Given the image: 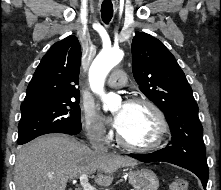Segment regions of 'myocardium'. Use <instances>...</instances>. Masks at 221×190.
<instances>
[{"label":"myocardium","instance_id":"f54148a6","mask_svg":"<svg viewBox=\"0 0 221 190\" xmlns=\"http://www.w3.org/2000/svg\"><path fill=\"white\" fill-rule=\"evenodd\" d=\"M127 104L145 105L153 112L157 123L156 134L152 142L144 145H137L126 141L121 135V133L117 131L116 133L117 143L120 146L135 152H150L159 149L164 143L169 129L168 122L163 111L156 103H154L152 100L146 97H132L127 100Z\"/></svg>","mask_w":221,"mask_h":190}]
</instances>
